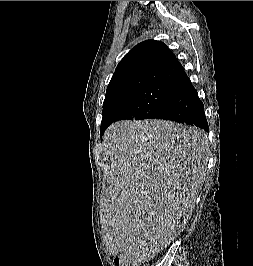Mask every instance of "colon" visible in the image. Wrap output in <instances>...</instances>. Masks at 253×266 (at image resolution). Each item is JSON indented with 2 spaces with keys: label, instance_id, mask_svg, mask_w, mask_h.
Instances as JSON below:
<instances>
[{
  "label": "colon",
  "instance_id": "1",
  "mask_svg": "<svg viewBox=\"0 0 253 266\" xmlns=\"http://www.w3.org/2000/svg\"><path fill=\"white\" fill-rule=\"evenodd\" d=\"M128 263H129V260L127 257L122 256V257L115 258L116 266H126V265H128Z\"/></svg>",
  "mask_w": 253,
  "mask_h": 266
}]
</instances>
